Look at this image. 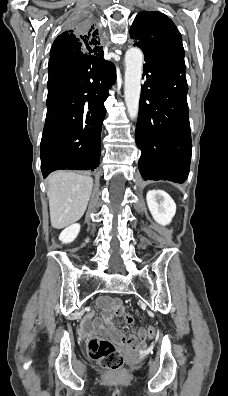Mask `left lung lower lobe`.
<instances>
[{"label":"left lung lower lobe","mask_w":228,"mask_h":396,"mask_svg":"<svg viewBox=\"0 0 228 396\" xmlns=\"http://www.w3.org/2000/svg\"><path fill=\"white\" fill-rule=\"evenodd\" d=\"M136 144L144 180L184 183L189 174L192 143L185 72L175 64L144 54Z\"/></svg>","instance_id":"0a47b994"}]
</instances>
